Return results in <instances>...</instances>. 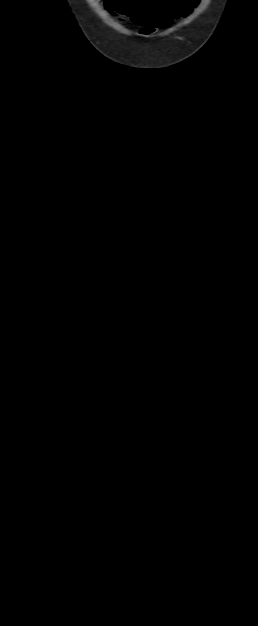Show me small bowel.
<instances>
[{"mask_svg": "<svg viewBox=\"0 0 258 626\" xmlns=\"http://www.w3.org/2000/svg\"><path fill=\"white\" fill-rule=\"evenodd\" d=\"M198 3V0H183L181 1L177 6H175L170 12H168L167 14L156 18L157 20L162 21L163 23L161 25H150V24H141L139 23L141 26H143L144 28L142 29L143 33L145 34H149L153 31V28L155 27H164L166 25H168L173 19L179 18L181 16H186L192 9L193 6H195ZM107 7L110 11L112 12H116L119 14H124L123 9L119 10L117 5L112 2L109 1L107 3ZM130 16V15H129Z\"/></svg>", "mask_w": 258, "mask_h": 626, "instance_id": "obj_1", "label": "small bowel"}]
</instances>
